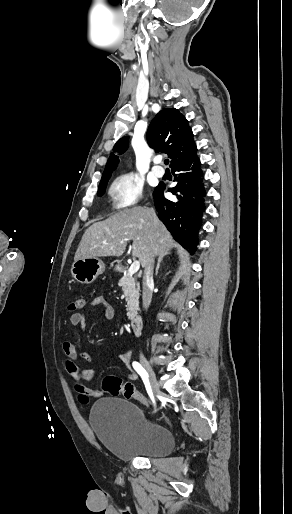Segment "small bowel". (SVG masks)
Instances as JSON below:
<instances>
[{"label":"small bowel","mask_w":292,"mask_h":514,"mask_svg":"<svg viewBox=\"0 0 292 514\" xmlns=\"http://www.w3.org/2000/svg\"><path fill=\"white\" fill-rule=\"evenodd\" d=\"M91 306L101 308L105 319L112 320L115 318L116 313L114 307L106 300V298L103 295L96 296L93 299ZM85 320V315L81 313H74L70 316V323L74 327H83L85 325ZM62 351L65 356L66 372L72 380L75 390L80 394L81 402L85 404L88 402L89 398L102 397L104 395V391L97 388L89 387L84 383L85 379L89 380L95 377L94 371L80 370L76 365V360L79 355H81L85 360L89 362H96L98 360L96 355L88 351L80 352L71 341L63 342ZM121 361L124 364L129 363V356L127 353L121 355ZM128 378L130 381H134L137 378V374L131 370L128 374Z\"/></svg>","instance_id":"small-bowel-1"}]
</instances>
